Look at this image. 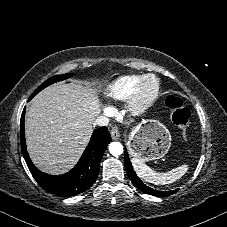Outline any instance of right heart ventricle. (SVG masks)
<instances>
[{"label":"right heart ventricle","instance_id":"obj_1","mask_svg":"<svg viewBox=\"0 0 227 227\" xmlns=\"http://www.w3.org/2000/svg\"><path fill=\"white\" fill-rule=\"evenodd\" d=\"M141 75H126L114 80L105 90L104 96L109 100H125L133 92Z\"/></svg>","mask_w":227,"mask_h":227}]
</instances>
